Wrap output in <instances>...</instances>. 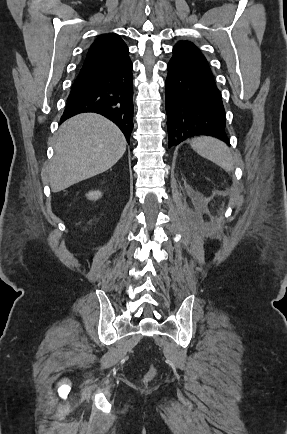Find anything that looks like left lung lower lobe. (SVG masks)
<instances>
[{
  "label": "left lung lower lobe",
  "instance_id": "left-lung-lower-lobe-1",
  "mask_svg": "<svg viewBox=\"0 0 287 434\" xmlns=\"http://www.w3.org/2000/svg\"><path fill=\"white\" fill-rule=\"evenodd\" d=\"M165 106L169 147L199 135L229 144L221 93L206 59L173 54L168 63Z\"/></svg>",
  "mask_w": 287,
  "mask_h": 434
}]
</instances>
